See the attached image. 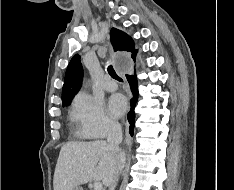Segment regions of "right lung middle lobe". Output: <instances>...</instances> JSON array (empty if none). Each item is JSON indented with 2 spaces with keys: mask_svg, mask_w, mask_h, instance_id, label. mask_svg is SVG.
Segmentation results:
<instances>
[{
  "mask_svg": "<svg viewBox=\"0 0 234 190\" xmlns=\"http://www.w3.org/2000/svg\"><path fill=\"white\" fill-rule=\"evenodd\" d=\"M68 104H70V102H69V103H64V104H62V105H63V107H64V106H66V105H68Z\"/></svg>",
  "mask_w": 234,
  "mask_h": 190,
  "instance_id": "1",
  "label": "right lung middle lobe"
}]
</instances>
